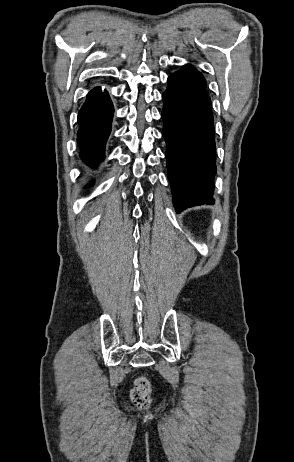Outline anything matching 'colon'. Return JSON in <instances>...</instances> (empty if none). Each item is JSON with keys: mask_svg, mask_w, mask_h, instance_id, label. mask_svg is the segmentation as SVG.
<instances>
[{"mask_svg": "<svg viewBox=\"0 0 294 462\" xmlns=\"http://www.w3.org/2000/svg\"><path fill=\"white\" fill-rule=\"evenodd\" d=\"M149 394H150V384L149 381L144 378L140 377L136 380L134 389L132 390V400L137 406H146L149 402Z\"/></svg>", "mask_w": 294, "mask_h": 462, "instance_id": "obj_1", "label": "colon"}]
</instances>
